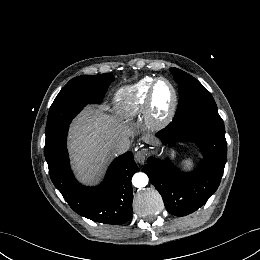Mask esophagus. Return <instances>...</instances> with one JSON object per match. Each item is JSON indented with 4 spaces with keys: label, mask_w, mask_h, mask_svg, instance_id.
I'll return each mask as SVG.
<instances>
[{
    "label": "esophagus",
    "mask_w": 260,
    "mask_h": 260,
    "mask_svg": "<svg viewBox=\"0 0 260 260\" xmlns=\"http://www.w3.org/2000/svg\"><path fill=\"white\" fill-rule=\"evenodd\" d=\"M148 156V151L146 149H141L135 153V161L139 164H143Z\"/></svg>",
    "instance_id": "34e87169"
}]
</instances>
